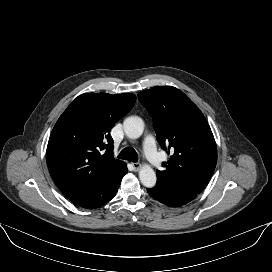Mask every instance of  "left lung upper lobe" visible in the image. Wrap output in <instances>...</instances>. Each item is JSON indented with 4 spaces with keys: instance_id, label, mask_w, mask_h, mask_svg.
I'll list each match as a JSON object with an SVG mask.
<instances>
[{
    "instance_id": "left-lung-upper-lobe-1",
    "label": "left lung upper lobe",
    "mask_w": 272,
    "mask_h": 272,
    "mask_svg": "<svg viewBox=\"0 0 272 272\" xmlns=\"http://www.w3.org/2000/svg\"><path fill=\"white\" fill-rule=\"evenodd\" d=\"M153 117L158 142L169 154L165 169L157 170V184L175 185L200 193L217 162L210 126L198 107L179 89L156 86L138 94Z\"/></svg>"
}]
</instances>
